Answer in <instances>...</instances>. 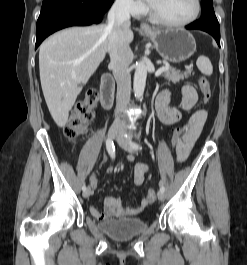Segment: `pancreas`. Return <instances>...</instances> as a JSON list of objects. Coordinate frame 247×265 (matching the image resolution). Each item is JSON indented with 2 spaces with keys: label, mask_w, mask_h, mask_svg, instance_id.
<instances>
[{
  "label": "pancreas",
  "mask_w": 247,
  "mask_h": 265,
  "mask_svg": "<svg viewBox=\"0 0 247 265\" xmlns=\"http://www.w3.org/2000/svg\"><path fill=\"white\" fill-rule=\"evenodd\" d=\"M191 72V67H186V70L184 72L176 71L168 67V69L163 72V76L172 83H178L179 81L188 78L191 75Z\"/></svg>",
  "instance_id": "obj_1"
}]
</instances>
